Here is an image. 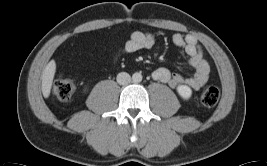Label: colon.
I'll return each instance as SVG.
<instances>
[{"label":"colon","instance_id":"1","mask_svg":"<svg viewBox=\"0 0 267 166\" xmlns=\"http://www.w3.org/2000/svg\"><path fill=\"white\" fill-rule=\"evenodd\" d=\"M75 91V82L70 78H61L57 80L53 87L55 97L62 103H68ZM220 98V90L215 85H209L203 88L201 92V102L204 106H215Z\"/></svg>","mask_w":267,"mask_h":166}]
</instances>
